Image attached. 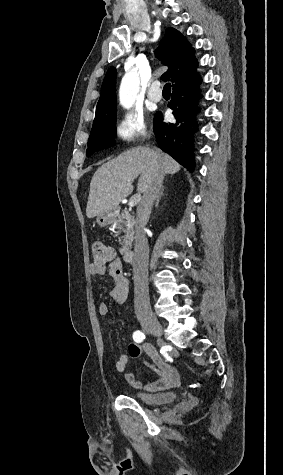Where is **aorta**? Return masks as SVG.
I'll return each instance as SVG.
<instances>
[{
	"instance_id": "obj_1",
	"label": "aorta",
	"mask_w": 283,
	"mask_h": 475,
	"mask_svg": "<svg viewBox=\"0 0 283 475\" xmlns=\"http://www.w3.org/2000/svg\"><path fill=\"white\" fill-rule=\"evenodd\" d=\"M139 85L140 80L136 72L126 73L122 78L119 89V99L120 104L124 108L129 109L133 106L139 91Z\"/></svg>"
}]
</instances>
